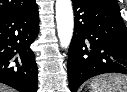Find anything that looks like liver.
<instances>
[{"label": "liver", "mask_w": 127, "mask_h": 92, "mask_svg": "<svg viewBox=\"0 0 127 92\" xmlns=\"http://www.w3.org/2000/svg\"><path fill=\"white\" fill-rule=\"evenodd\" d=\"M0 92H14V91L10 89L9 87L0 84Z\"/></svg>", "instance_id": "liver-1"}]
</instances>
